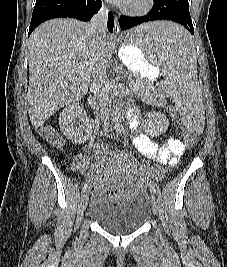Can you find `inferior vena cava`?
<instances>
[{
	"instance_id": "602c4592",
	"label": "inferior vena cava",
	"mask_w": 227,
	"mask_h": 267,
	"mask_svg": "<svg viewBox=\"0 0 227 267\" xmlns=\"http://www.w3.org/2000/svg\"><path fill=\"white\" fill-rule=\"evenodd\" d=\"M107 10L105 7L96 13L87 26V31L92 37L94 43L99 48V59L97 60L90 82V90L98 99L101 110V120L105 131L109 127V81L106 75V59H105V42L106 26H107Z\"/></svg>"
}]
</instances>
